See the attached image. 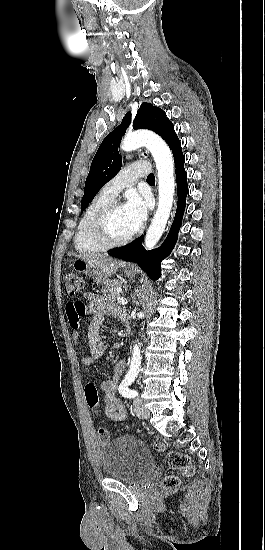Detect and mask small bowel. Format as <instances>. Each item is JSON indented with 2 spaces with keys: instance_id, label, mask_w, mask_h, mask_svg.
<instances>
[{
  "instance_id": "small-bowel-1",
  "label": "small bowel",
  "mask_w": 265,
  "mask_h": 550,
  "mask_svg": "<svg viewBox=\"0 0 265 550\" xmlns=\"http://www.w3.org/2000/svg\"><path fill=\"white\" fill-rule=\"evenodd\" d=\"M83 299L89 302V306H85L82 317H90L87 327V340L89 346L88 354L79 353V361L85 366L93 364L97 359L103 358L106 355V345L101 339V327L104 317L106 315L118 316L123 320H126L127 315L116 304H113L103 297L95 294L92 291H87L83 295ZM68 320L71 316H75L79 312V307L74 302L69 303L66 307ZM80 338L79 326L73 328L72 339L77 346ZM126 367L125 360H120L113 369V374L110 379L103 380L100 384L104 393L105 401V416L112 421H123L127 416L122 401L117 397V390L121 382L122 375Z\"/></svg>"
}]
</instances>
